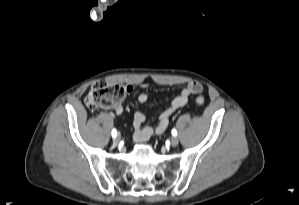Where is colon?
<instances>
[{
    "mask_svg": "<svg viewBox=\"0 0 299 205\" xmlns=\"http://www.w3.org/2000/svg\"><path fill=\"white\" fill-rule=\"evenodd\" d=\"M126 94V86L106 81H97L91 86L85 98V104L91 110L101 107H114L120 104ZM195 100L199 106L204 105L205 101L201 95H198Z\"/></svg>",
    "mask_w": 299,
    "mask_h": 205,
    "instance_id": "5ec220e1",
    "label": "colon"
}]
</instances>
